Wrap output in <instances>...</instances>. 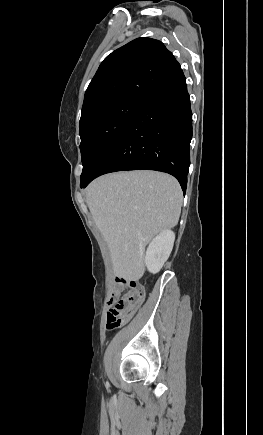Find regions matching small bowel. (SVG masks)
<instances>
[{
    "mask_svg": "<svg viewBox=\"0 0 263 435\" xmlns=\"http://www.w3.org/2000/svg\"><path fill=\"white\" fill-rule=\"evenodd\" d=\"M118 296H119V291L116 289V290L114 291V293L112 294V297H111L110 301L108 302V306H109V308H110V307L112 306V304L117 300Z\"/></svg>",
    "mask_w": 263,
    "mask_h": 435,
    "instance_id": "small-bowel-1",
    "label": "small bowel"
}]
</instances>
